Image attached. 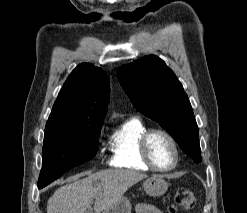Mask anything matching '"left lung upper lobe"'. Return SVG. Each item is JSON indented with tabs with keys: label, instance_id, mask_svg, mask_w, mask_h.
<instances>
[{
	"label": "left lung upper lobe",
	"instance_id": "obj_1",
	"mask_svg": "<svg viewBox=\"0 0 247 213\" xmlns=\"http://www.w3.org/2000/svg\"><path fill=\"white\" fill-rule=\"evenodd\" d=\"M117 76L138 111L158 122L195 161H201L198 126L183 86L164 61L149 55L121 66Z\"/></svg>",
	"mask_w": 247,
	"mask_h": 213
}]
</instances>
